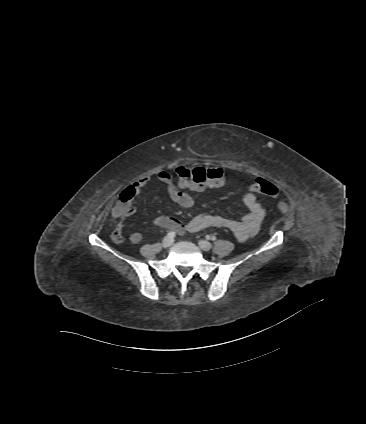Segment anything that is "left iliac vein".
<instances>
[{
	"mask_svg": "<svg viewBox=\"0 0 366 424\" xmlns=\"http://www.w3.org/2000/svg\"><path fill=\"white\" fill-rule=\"evenodd\" d=\"M199 246L204 251H209L212 248V244L206 240H200Z\"/></svg>",
	"mask_w": 366,
	"mask_h": 424,
	"instance_id": "4c4485c4",
	"label": "left iliac vein"
}]
</instances>
